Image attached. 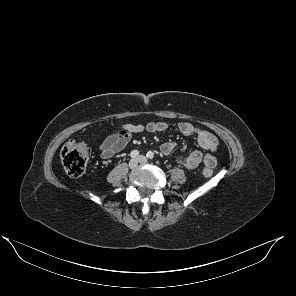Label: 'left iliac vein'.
<instances>
[{
    "instance_id": "4c4485c4",
    "label": "left iliac vein",
    "mask_w": 296,
    "mask_h": 296,
    "mask_svg": "<svg viewBox=\"0 0 296 296\" xmlns=\"http://www.w3.org/2000/svg\"><path fill=\"white\" fill-rule=\"evenodd\" d=\"M138 161H139L140 163H142V164L147 163V159H146V157L143 156V155H140V156L138 157Z\"/></svg>"
}]
</instances>
